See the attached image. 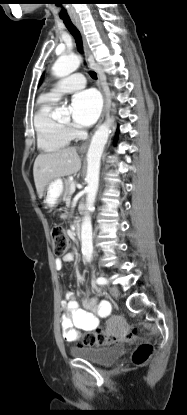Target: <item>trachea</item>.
I'll return each mask as SVG.
<instances>
[{"label": "trachea", "mask_w": 187, "mask_h": 415, "mask_svg": "<svg viewBox=\"0 0 187 415\" xmlns=\"http://www.w3.org/2000/svg\"><path fill=\"white\" fill-rule=\"evenodd\" d=\"M63 22H64L65 26L67 27V29L69 30V32L75 38L78 50L80 52H82L83 51L82 38H81V34H80L79 30L72 23V21L70 19H63ZM89 74H90L91 78H93L95 80L97 79V74L94 71H90Z\"/></svg>", "instance_id": "trachea-1"}]
</instances>
